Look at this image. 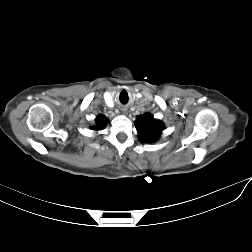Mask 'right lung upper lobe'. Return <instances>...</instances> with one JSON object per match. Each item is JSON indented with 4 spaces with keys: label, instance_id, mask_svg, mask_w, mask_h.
I'll return each instance as SVG.
<instances>
[{
    "label": "right lung upper lobe",
    "instance_id": "1",
    "mask_svg": "<svg viewBox=\"0 0 252 252\" xmlns=\"http://www.w3.org/2000/svg\"><path fill=\"white\" fill-rule=\"evenodd\" d=\"M96 126L93 128L94 130H101L104 128V126L107 124L108 122V119L103 116V115H99L97 118H96Z\"/></svg>",
    "mask_w": 252,
    "mask_h": 252
}]
</instances>
